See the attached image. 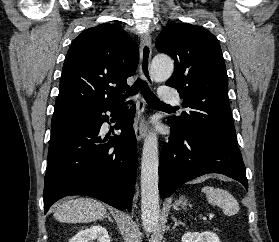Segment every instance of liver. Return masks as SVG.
<instances>
[{
  "mask_svg": "<svg viewBox=\"0 0 279 242\" xmlns=\"http://www.w3.org/2000/svg\"><path fill=\"white\" fill-rule=\"evenodd\" d=\"M106 211L101 202L91 198L69 199L58 205L54 218L65 223H87L102 219Z\"/></svg>",
  "mask_w": 279,
  "mask_h": 242,
  "instance_id": "6515ba94",
  "label": "liver"
}]
</instances>
